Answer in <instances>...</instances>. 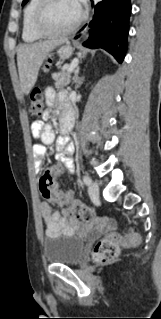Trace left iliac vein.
I'll list each match as a JSON object with an SVG mask.
<instances>
[{
  "label": "left iliac vein",
  "mask_w": 161,
  "mask_h": 319,
  "mask_svg": "<svg viewBox=\"0 0 161 319\" xmlns=\"http://www.w3.org/2000/svg\"><path fill=\"white\" fill-rule=\"evenodd\" d=\"M89 195L93 199H97L99 196V188L96 182H91L88 188Z\"/></svg>",
  "instance_id": "1"
}]
</instances>
